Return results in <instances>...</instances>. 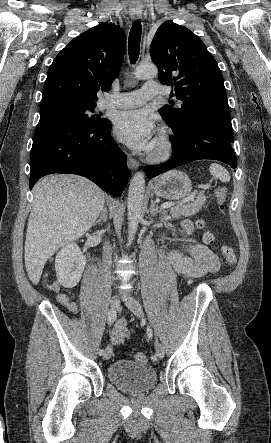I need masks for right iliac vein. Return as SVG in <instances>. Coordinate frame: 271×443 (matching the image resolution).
<instances>
[{
	"instance_id": "obj_1",
	"label": "right iliac vein",
	"mask_w": 271,
	"mask_h": 443,
	"mask_svg": "<svg viewBox=\"0 0 271 443\" xmlns=\"http://www.w3.org/2000/svg\"><path fill=\"white\" fill-rule=\"evenodd\" d=\"M119 305H120V301H119L118 297H116V296L113 297L111 299V301H110L111 308L113 310H116V309H118ZM112 351H113L112 347L111 346H107L105 351H104V353H103V359L104 360L109 359L111 357V355H112Z\"/></svg>"
}]
</instances>
